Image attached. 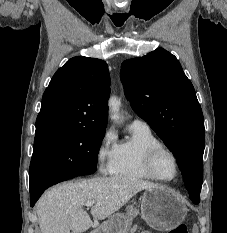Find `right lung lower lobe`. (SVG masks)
I'll use <instances>...</instances> for the list:
<instances>
[{
  "label": "right lung lower lobe",
  "instance_id": "right-lung-lower-lobe-1",
  "mask_svg": "<svg viewBox=\"0 0 227 233\" xmlns=\"http://www.w3.org/2000/svg\"><path fill=\"white\" fill-rule=\"evenodd\" d=\"M78 175H71V176H61V177H55L47 180L41 181L39 184H37L34 187H30V196H31V201L30 205L31 207L34 206L36 201L39 199L41 194L50 186L57 184L59 182L77 177Z\"/></svg>",
  "mask_w": 227,
  "mask_h": 233
}]
</instances>
